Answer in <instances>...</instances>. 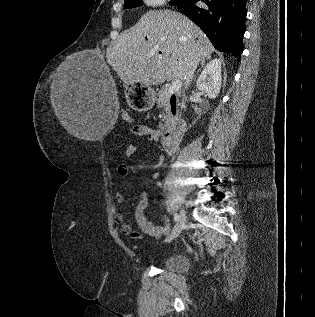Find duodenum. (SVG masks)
<instances>
[{
  "instance_id": "duodenum-1",
  "label": "duodenum",
  "mask_w": 315,
  "mask_h": 317,
  "mask_svg": "<svg viewBox=\"0 0 315 317\" xmlns=\"http://www.w3.org/2000/svg\"><path fill=\"white\" fill-rule=\"evenodd\" d=\"M169 107L173 120L169 128L161 134V145L166 153L173 154L177 151L179 143L182 140L186 130V123L180 112L183 103L179 101L176 94L170 96Z\"/></svg>"
}]
</instances>
